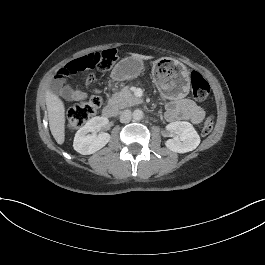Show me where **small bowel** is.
<instances>
[{
	"label": "small bowel",
	"instance_id": "obj_1",
	"mask_svg": "<svg viewBox=\"0 0 265 265\" xmlns=\"http://www.w3.org/2000/svg\"><path fill=\"white\" fill-rule=\"evenodd\" d=\"M93 81V75H89L86 82L87 87H90ZM62 95L67 101H81L86 97L85 92L80 87H65L62 90ZM165 115L170 121L186 120L198 124L204 119L205 112L193 100L178 98L167 103Z\"/></svg>",
	"mask_w": 265,
	"mask_h": 265
}]
</instances>
